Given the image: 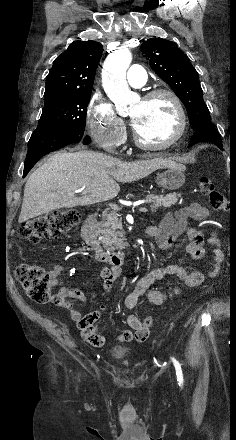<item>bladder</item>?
Wrapping results in <instances>:
<instances>
[{
	"label": "bladder",
	"instance_id": "31cf9c89",
	"mask_svg": "<svg viewBox=\"0 0 236 440\" xmlns=\"http://www.w3.org/2000/svg\"><path fill=\"white\" fill-rule=\"evenodd\" d=\"M129 353V348L122 344H116L110 351V356L114 360L124 359Z\"/></svg>",
	"mask_w": 236,
	"mask_h": 440
}]
</instances>
